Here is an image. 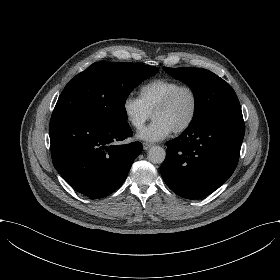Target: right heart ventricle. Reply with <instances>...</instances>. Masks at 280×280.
Returning a JSON list of instances; mask_svg holds the SVG:
<instances>
[{"mask_svg": "<svg viewBox=\"0 0 280 280\" xmlns=\"http://www.w3.org/2000/svg\"><path fill=\"white\" fill-rule=\"evenodd\" d=\"M180 85H182L181 82L169 78L151 79L139 88V99L152 113L156 106Z\"/></svg>", "mask_w": 280, "mask_h": 280, "instance_id": "obj_1", "label": "right heart ventricle"}]
</instances>
